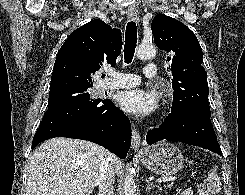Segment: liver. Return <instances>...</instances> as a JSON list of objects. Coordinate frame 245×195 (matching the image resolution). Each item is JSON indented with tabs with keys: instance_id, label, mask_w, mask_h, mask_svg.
<instances>
[{
	"instance_id": "liver-1",
	"label": "liver",
	"mask_w": 245,
	"mask_h": 195,
	"mask_svg": "<svg viewBox=\"0 0 245 195\" xmlns=\"http://www.w3.org/2000/svg\"><path fill=\"white\" fill-rule=\"evenodd\" d=\"M106 154L103 147L85 140L45 141L29 157L26 195H90ZM111 161L119 175L121 160L112 155Z\"/></svg>"
}]
</instances>
